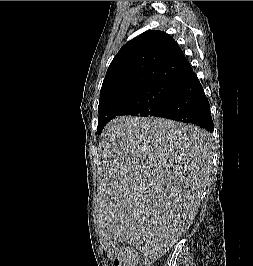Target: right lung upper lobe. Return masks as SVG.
<instances>
[{
    "label": "right lung upper lobe",
    "instance_id": "obj_1",
    "mask_svg": "<svg viewBox=\"0 0 253 266\" xmlns=\"http://www.w3.org/2000/svg\"><path fill=\"white\" fill-rule=\"evenodd\" d=\"M192 68L175 40L150 30L126 43L112 60L99 104L154 83H173Z\"/></svg>",
    "mask_w": 253,
    "mask_h": 266
}]
</instances>
